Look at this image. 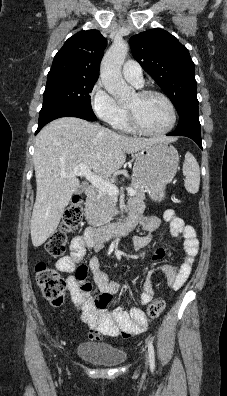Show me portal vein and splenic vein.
<instances>
[{"mask_svg": "<svg viewBox=\"0 0 227 396\" xmlns=\"http://www.w3.org/2000/svg\"><path fill=\"white\" fill-rule=\"evenodd\" d=\"M62 177H73V176H83L85 177L94 187L102 192L108 193L110 195L117 196L119 194V189L114 184L107 180H104L100 176L96 175L91 171V168L85 164L78 165L71 174L63 173ZM127 192L130 196L136 195V191L133 188H127Z\"/></svg>", "mask_w": 227, "mask_h": 396, "instance_id": "18ae733b", "label": "portal vein and splenic vein"}]
</instances>
